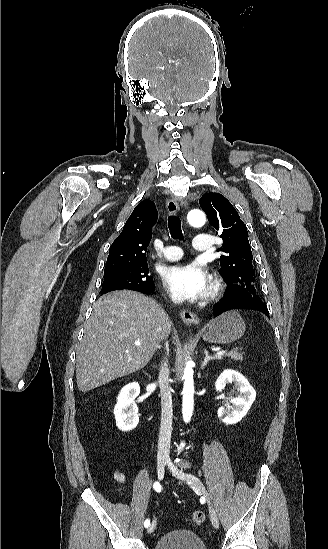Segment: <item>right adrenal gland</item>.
Listing matches in <instances>:
<instances>
[{"mask_svg": "<svg viewBox=\"0 0 328 549\" xmlns=\"http://www.w3.org/2000/svg\"><path fill=\"white\" fill-rule=\"evenodd\" d=\"M166 351H167V355H169L168 345H166Z\"/></svg>", "mask_w": 328, "mask_h": 549, "instance_id": "obj_1", "label": "right adrenal gland"}]
</instances>
